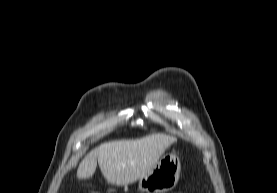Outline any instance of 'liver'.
Wrapping results in <instances>:
<instances>
[{
	"mask_svg": "<svg viewBox=\"0 0 277 193\" xmlns=\"http://www.w3.org/2000/svg\"><path fill=\"white\" fill-rule=\"evenodd\" d=\"M175 137L151 134L135 140L106 142L90 151L77 170L78 179H88L97 168L108 183L126 186L149 173Z\"/></svg>",
	"mask_w": 277,
	"mask_h": 193,
	"instance_id": "6515ba94",
	"label": "liver"
}]
</instances>
